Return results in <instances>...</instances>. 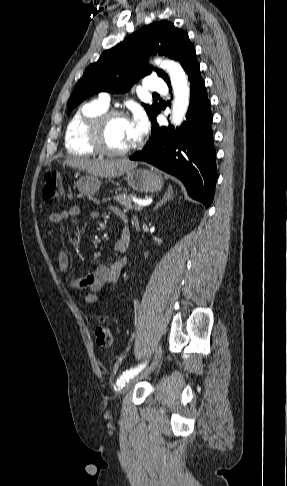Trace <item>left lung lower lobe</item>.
Instances as JSON below:
<instances>
[{
	"instance_id": "0a47b994",
	"label": "left lung lower lobe",
	"mask_w": 287,
	"mask_h": 486,
	"mask_svg": "<svg viewBox=\"0 0 287 486\" xmlns=\"http://www.w3.org/2000/svg\"><path fill=\"white\" fill-rule=\"evenodd\" d=\"M184 70L189 76L191 92L186 121L174 130L171 126L159 127L155 117L151 121V140L130 159L145 161L181 179L188 194L209 207L217 179L213 116L196 57Z\"/></svg>"
}]
</instances>
